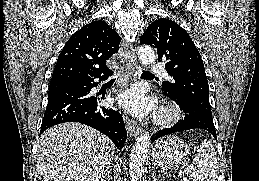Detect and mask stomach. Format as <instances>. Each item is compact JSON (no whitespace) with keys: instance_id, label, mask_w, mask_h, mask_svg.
<instances>
[{"instance_id":"stomach-1","label":"stomach","mask_w":259,"mask_h":181,"mask_svg":"<svg viewBox=\"0 0 259 181\" xmlns=\"http://www.w3.org/2000/svg\"><path fill=\"white\" fill-rule=\"evenodd\" d=\"M189 146L175 136H166L158 140L153 147V163L164 170L174 169L183 164L189 154Z\"/></svg>"}]
</instances>
